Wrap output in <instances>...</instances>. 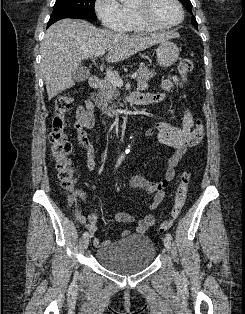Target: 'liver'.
<instances>
[{
    "label": "liver",
    "mask_w": 245,
    "mask_h": 314,
    "mask_svg": "<svg viewBox=\"0 0 245 314\" xmlns=\"http://www.w3.org/2000/svg\"><path fill=\"white\" fill-rule=\"evenodd\" d=\"M174 32L126 34L97 29L78 19H62L51 25L41 43V69L48 99L74 85L73 73L81 62L107 50L106 61L116 63L162 41L176 38Z\"/></svg>",
    "instance_id": "liver-1"
}]
</instances>
